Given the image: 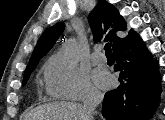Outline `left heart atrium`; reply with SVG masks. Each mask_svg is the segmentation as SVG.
I'll return each mask as SVG.
<instances>
[{"mask_svg": "<svg viewBox=\"0 0 165 120\" xmlns=\"http://www.w3.org/2000/svg\"><path fill=\"white\" fill-rule=\"evenodd\" d=\"M94 80L101 88H109L113 83L111 75L104 70H97L94 73Z\"/></svg>", "mask_w": 165, "mask_h": 120, "instance_id": "left-heart-atrium-1", "label": "left heart atrium"}]
</instances>
